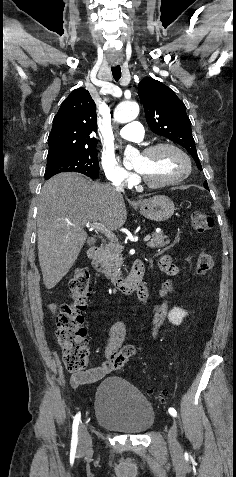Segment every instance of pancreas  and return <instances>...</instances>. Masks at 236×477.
<instances>
[{
  "label": "pancreas",
  "mask_w": 236,
  "mask_h": 477,
  "mask_svg": "<svg viewBox=\"0 0 236 477\" xmlns=\"http://www.w3.org/2000/svg\"><path fill=\"white\" fill-rule=\"evenodd\" d=\"M162 232L154 233L152 239L147 245L151 248H162L169 244ZM122 246L117 241H111L105 246L101 247L96 261L93 263L97 271L105 274L107 278L116 280L121 276L120 267L122 265Z\"/></svg>",
  "instance_id": "obj_1"
}]
</instances>
